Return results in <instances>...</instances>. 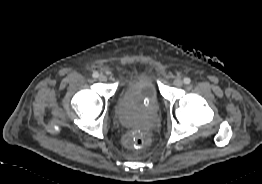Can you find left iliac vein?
<instances>
[{"label":"left iliac vein","mask_w":262,"mask_h":184,"mask_svg":"<svg viewBox=\"0 0 262 184\" xmlns=\"http://www.w3.org/2000/svg\"><path fill=\"white\" fill-rule=\"evenodd\" d=\"M173 84L177 87H180L183 85V80L181 78H175Z\"/></svg>","instance_id":"left-iliac-vein-1"}]
</instances>
